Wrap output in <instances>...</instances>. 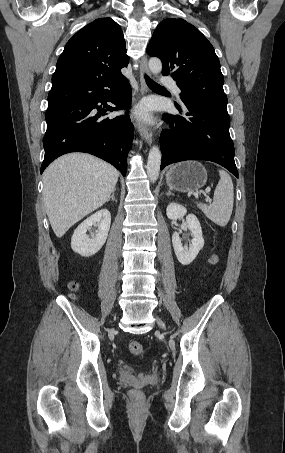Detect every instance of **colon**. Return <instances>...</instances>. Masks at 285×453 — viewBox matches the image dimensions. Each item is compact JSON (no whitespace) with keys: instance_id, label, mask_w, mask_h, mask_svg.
Instances as JSON below:
<instances>
[{"instance_id":"obj_1","label":"colon","mask_w":285,"mask_h":453,"mask_svg":"<svg viewBox=\"0 0 285 453\" xmlns=\"http://www.w3.org/2000/svg\"><path fill=\"white\" fill-rule=\"evenodd\" d=\"M211 262H212V264H216L218 262V257L216 255H214L211 258ZM79 288L80 287L77 283H75V282L70 283V289L72 291H77V290H79ZM129 350H130L131 354L135 357H142L144 354V346L137 341H132L129 343ZM132 394L134 397L139 396V392H137V391H133Z\"/></svg>"}]
</instances>
